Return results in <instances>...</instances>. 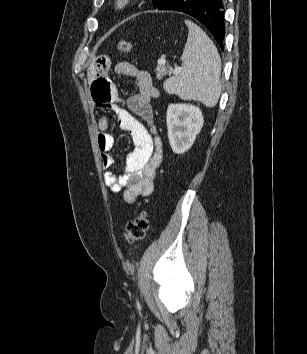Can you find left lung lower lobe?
<instances>
[{
    "label": "left lung lower lobe",
    "instance_id": "obj_1",
    "mask_svg": "<svg viewBox=\"0 0 307 354\" xmlns=\"http://www.w3.org/2000/svg\"><path fill=\"white\" fill-rule=\"evenodd\" d=\"M159 9L180 11L196 18L210 31L223 49L225 11L222 0H170Z\"/></svg>",
    "mask_w": 307,
    "mask_h": 354
}]
</instances>
